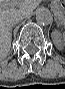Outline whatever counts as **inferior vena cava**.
I'll use <instances>...</instances> for the list:
<instances>
[{
  "label": "inferior vena cava",
  "instance_id": "1",
  "mask_svg": "<svg viewBox=\"0 0 65 89\" xmlns=\"http://www.w3.org/2000/svg\"><path fill=\"white\" fill-rule=\"evenodd\" d=\"M25 18V16H20L12 20V25L17 24L21 19Z\"/></svg>",
  "mask_w": 65,
  "mask_h": 89
}]
</instances>
